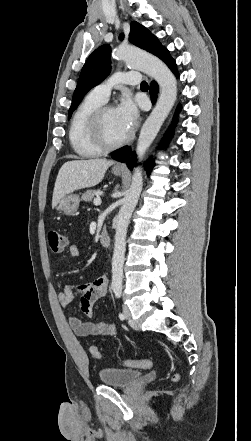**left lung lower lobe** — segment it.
<instances>
[{
	"label": "left lung lower lobe",
	"instance_id": "0a47b994",
	"mask_svg": "<svg viewBox=\"0 0 251 441\" xmlns=\"http://www.w3.org/2000/svg\"><path fill=\"white\" fill-rule=\"evenodd\" d=\"M162 60L167 64V66L173 71V73L175 75H178L177 72V68H176V62L175 60L169 55V52H167ZM157 93H158V85L155 81L151 82L150 84V94H151V100L152 103H155L156 99H157ZM181 107L178 106L176 113H178L180 111ZM172 135V131L171 129L168 131L165 140H169V138ZM131 155V149L128 146L122 147L118 150L115 151V153L112 155V158L120 161V162H126L127 166L129 167V169H133L134 165H135V161H136V156L135 154L132 155V157L130 158ZM154 163L153 161H150L147 164V169L148 171H150L153 167Z\"/></svg>",
	"mask_w": 251,
	"mask_h": 441
}]
</instances>
